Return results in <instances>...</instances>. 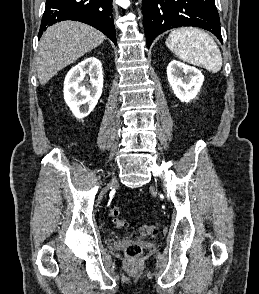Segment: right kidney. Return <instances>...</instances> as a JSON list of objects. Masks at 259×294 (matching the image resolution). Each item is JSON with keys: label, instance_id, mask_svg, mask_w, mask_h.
I'll return each instance as SVG.
<instances>
[{"label": "right kidney", "instance_id": "1", "mask_svg": "<svg viewBox=\"0 0 259 294\" xmlns=\"http://www.w3.org/2000/svg\"><path fill=\"white\" fill-rule=\"evenodd\" d=\"M86 75L89 80H85ZM102 88V64L97 58L88 57L71 68L64 81V99L76 118H84L93 111Z\"/></svg>", "mask_w": 259, "mask_h": 294}]
</instances>
